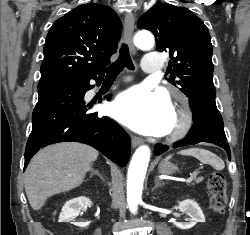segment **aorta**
Segmentation results:
<instances>
[{
    "label": "aorta",
    "instance_id": "762f6f07",
    "mask_svg": "<svg viewBox=\"0 0 250 235\" xmlns=\"http://www.w3.org/2000/svg\"><path fill=\"white\" fill-rule=\"evenodd\" d=\"M155 43L153 35L148 31H139L134 36V44L142 49L149 50ZM150 160L148 146H140L134 153L128 169L127 203L132 213H136L141 202L143 182Z\"/></svg>",
    "mask_w": 250,
    "mask_h": 235
}]
</instances>
